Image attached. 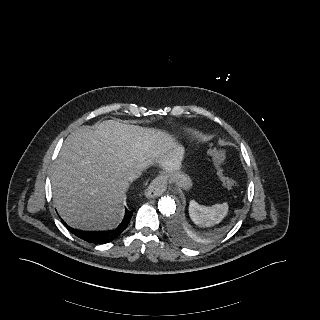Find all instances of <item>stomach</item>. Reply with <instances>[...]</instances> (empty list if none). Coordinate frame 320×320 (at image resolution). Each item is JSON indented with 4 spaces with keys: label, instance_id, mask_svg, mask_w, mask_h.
I'll list each match as a JSON object with an SVG mask.
<instances>
[{
    "label": "stomach",
    "instance_id": "obj_1",
    "mask_svg": "<svg viewBox=\"0 0 320 320\" xmlns=\"http://www.w3.org/2000/svg\"><path fill=\"white\" fill-rule=\"evenodd\" d=\"M164 179L175 182L179 187L189 189L192 186V181L186 174L182 173L178 167H176L171 173L164 176Z\"/></svg>",
    "mask_w": 320,
    "mask_h": 320
}]
</instances>
